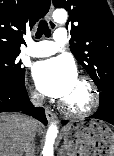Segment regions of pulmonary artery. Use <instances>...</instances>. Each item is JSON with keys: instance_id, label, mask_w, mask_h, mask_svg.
<instances>
[{"instance_id": "pulmonary-artery-1", "label": "pulmonary artery", "mask_w": 114, "mask_h": 156, "mask_svg": "<svg viewBox=\"0 0 114 156\" xmlns=\"http://www.w3.org/2000/svg\"><path fill=\"white\" fill-rule=\"evenodd\" d=\"M67 42V32L63 28H59L54 33V41L34 42L27 39V46L24 53L31 57H47L61 50V47Z\"/></svg>"}]
</instances>
